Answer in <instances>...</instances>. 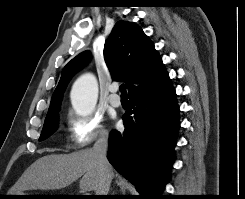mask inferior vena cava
Segmentation results:
<instances>
[{"label":"inferior vena cava","instance_id":"602c4592","mask_svg":"<svg viewBox=\"0 0 245 199\" xmlns=\"http://www.w3.org/2000/svg\"><path fill=\"white\" fill-rule=\"evenodd\" d=\"M108 150V134L106 132L100 133L99 138L96 140L93 151L96 155L100 175H101V188L96 195H108L110 184L112 180L111 165L107 160Z\"/></svg>","mask_w":245,"mask_h":199}]
</instances>
